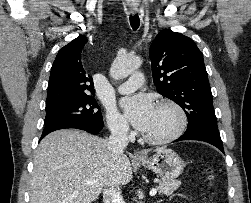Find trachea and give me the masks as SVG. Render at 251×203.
<instances>
[{
  "mask_svg": "<svg viewBox=\"0 0 251 203\" xmlns=\"http://www.w3.org/2000/svg\"><path fill=\"white\" fill-rule=\"evenodd\" d=\"M130 24L133 30H137L140 25V19L138 14L130 15Z\"/></svg>",
  "mask_w": 251,
  "mask_h": 203,
  "instance_id": "trachea-1",
  "label": "trachea"
}]
</instances>
